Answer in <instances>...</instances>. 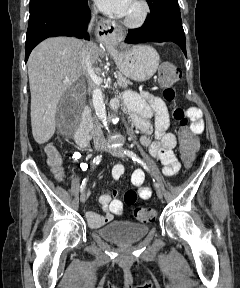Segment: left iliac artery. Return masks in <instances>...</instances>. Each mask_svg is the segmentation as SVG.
Segmentation results:
<instances>
[{
  "mask_svg": "<svg viewBox=\"0 0 240 288\" xmlns=\"http://www.w3.org/2000/svg\"><path fill=\"white\" fill-rule=\"evenodd\" d=\"M124 153L129 156L133 161L138 162L140 165H142L144 167V169H146L148 172H150L148 166L146 165V163L138 156L136 155L133 151L130 150H124ZM153 181L155 182V180L153 179ZM155 185L157 187H159V185L157 183H155Z\"/></svg>",
  "mask_w": 240,
  "mask_h": 288,
  "instance_id": "1",
  "label": "left iliac artery"
}]
</instances>
